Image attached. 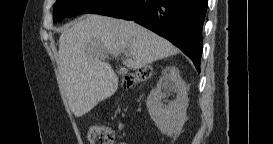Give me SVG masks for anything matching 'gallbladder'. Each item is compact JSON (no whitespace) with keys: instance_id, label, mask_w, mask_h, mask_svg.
Returning <instances> with one entry per match:
<instances>
[{"instance_id":"1","label":"gallbladder","mask_w":273,"mask_h":144,"mask_svg":"<svg viewBox=\"0 0 273 144\" xmlns=\"http://www.w3.org/2000/svg\"><path fill=\"white\" fill-rule=\"evenodd\" d=\"M115 71L118 73L120 70L117 68ZM118 74L121 76L123 73L120 71Z\"/></svg>"}]
</instances>
